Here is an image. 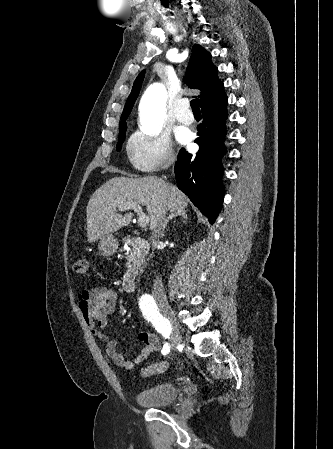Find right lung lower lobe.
<instances>
[{"label":"right lung lower lobe","mask_w":333,"mask_h":449,"mask_svg":"<svg viewBox=\"0 0 333 449\" xmlns=\"http://www.w3.org/2000/svg\"><path fill=\"white\" fill-rule=\"evenodd\" d=\"M224 88L209 95L200 107L203 121L198 125L196 154L181 149L175 163L177 186L213 224L222 207L224 187L221 181V157L226 152L224 137L227 118Z\"/></svg>","instance_id":"right-lung-lower-lobe-1"}]
</instances>
